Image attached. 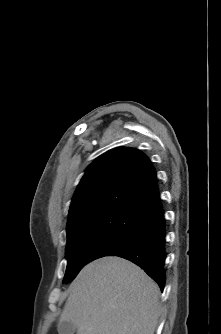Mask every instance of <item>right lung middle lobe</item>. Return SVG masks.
Wrapping results in <instances>:
<instances>
[{
	"instance_id": "1",
	"label": "right lung middle lobe",
	"mask_w": 221,
	"mask_h": 334,
	"mask_svg": "<svg viewBox=\"0 0 221 334\" xmlns=\"http://www.w3.org/2000/svg\"><path fill=\"white\" fill-rule=\"evenodd\" d=\"M141 215L103 213L79 222L67 232V268L63 283L72 281L87 263L106 256L134 229Z\"/></svg>"
}]
</instances>
